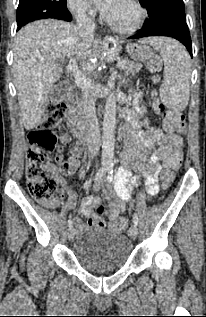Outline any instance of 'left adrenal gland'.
<instances>
[{"label":"left adrenal gland","instance_id":"obj_1","mask_svg":"<svg viewBox=\"0 0 206 317\" xmlns=\"http://www.w3.org/2000/svg\"><path fill=\"white\" fill-rule=\"evenodd\" d=\"M126 82V80H125V78L123 79V83H125Z\"/></svg>","mask_w":206,"mask_h":317}]
</instances>
